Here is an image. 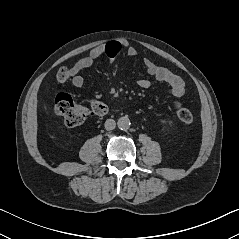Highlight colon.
<instances>
[{"label": "colon", "instance_id": "colon-1", "mask_svg": "<svg viewBox=\"0 0 239 239\" xmlns=\"http://www.w3.org/2000/svg\"><path fill=\"white\" fill-rule=\"evenodd\" d=\"M71 71L68 68H61L57 73V78L61 81L68 79ZM176 113L180 120L190 122L192 114L182 103L174 101ZM55 110L64 118V123L68 127L81 125L90 114H102L105 106L99 100L93 99L87 105L77 103L69 94L60 93L55 98Z\"/></svg>", "mask_w": 239, "mask_h": 239}]
</instances>
